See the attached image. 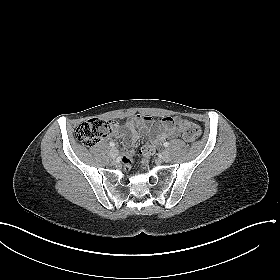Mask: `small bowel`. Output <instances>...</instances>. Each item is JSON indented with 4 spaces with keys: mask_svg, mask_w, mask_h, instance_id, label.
Returning <instances> with one entry per match:
<instances>
[{
    "mask_svg": "<svg viewBox=\"0 0 280 280\" xmlns=\"http://www.w3.org/2000/svg\"><path fill=\"white\" fill-rule=\"evenodd\" d=\"M125 127L127 129V135L125 136L127 147L132 146L137 141L139 137L137 127H140L144 131H149L154 127L161 128V131L153 135L148 143L154 148L159 147L166 139L180 136V131L176 127V119L172 117H165L156 121L150 115H136L126 122ZM127 155H132V151H129Z\"/></svg>",
    "mask_w": 280,
    "mask_h": 280,
    "instance_id": "c3829d8e",
    "label": "small bowel"
}]
</instances>
